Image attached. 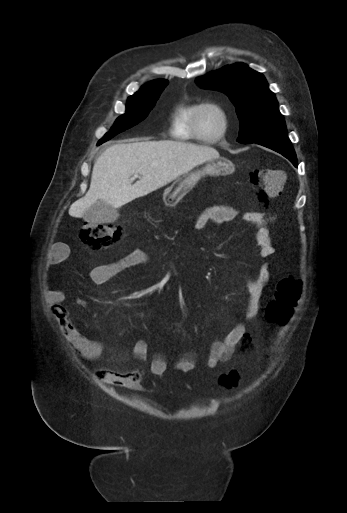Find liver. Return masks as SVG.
I'll list each match as a JSON object with an SVG mask.
<instances>
[{
	"mask_svg": "<svg viewBox=\"0 0 347 513\" xmlns=\"http://www.w3.org/2000/svg\"><path fill=\"white\" fill-rule=\"evenodd\" d=\"M217 158L214 148L172 140L114 144L96 160L90 188L70 206L69 214L80 218L97 200L119 208ZM134 174L141 177L132 184Z\"/></svg>",
	"mask_w": 347,
	"mask_h": 513,
	"instance_id": "6515ba94",
	"label": "liver"
}]
</instances>
